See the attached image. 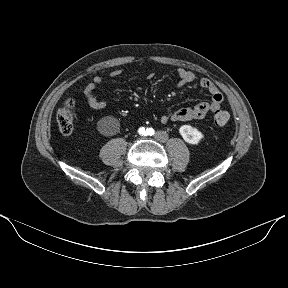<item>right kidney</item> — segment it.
Segmentation results:
<instances>
[{
	"mask_svg": "<svg viewBox=\"0 0 288 288\" xmlns=\"http://www.w3.org/2000/svg\"><path fill=\"white\" fill-rule=\"evenodd\" d=\"M112 117H104L98 122V131L103 135H109L111 133Z\"/></svg>",
	"mask_w": 288,
	"mask_h": 288,
	"instance_id": "ca27d5eb",
	"label": "right kidney"
}]
</instances>
